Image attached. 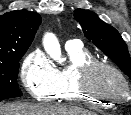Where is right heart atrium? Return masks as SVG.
<instances>
[{
  "label": "right heart atrium",
  "mask_w": 131,
  "mask_h": 115,
  "mask_svg": "<svg viewBox=\"0 0 131 115\" xmlns=\"http://www.w3.org/2000/svg\"><path fill=\"white\" fill-rule=\"evenodd\" d=\"M20 75L25 89L36 100H50L58 90L57 70L40 49H34L24 57Z\"/></svg>",
  "instance_id": "obj_1"
}]
</instances>
